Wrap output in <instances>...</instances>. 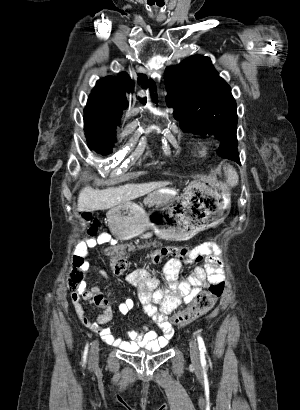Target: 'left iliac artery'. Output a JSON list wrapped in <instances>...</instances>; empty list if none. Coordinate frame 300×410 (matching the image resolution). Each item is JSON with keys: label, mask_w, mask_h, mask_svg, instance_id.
<instances>
[{"label": "left iliac artery", "mask_w": 300, "mask_h": 410, "mask_svg": "<svg viewBox=\"0 0 300 410\" xmlns=\"http://www.w3.org/2000/svg\"><path fill=\"white\" fill-rule=\"evenodd\" d=\"M197 341H198L199 350H200L201 362H204L205 361L206 347H205L203 338L200 335H198L197 336Z\"/></svg>", "instance_id": "left-iliac-artery-1"}]
</instances>
